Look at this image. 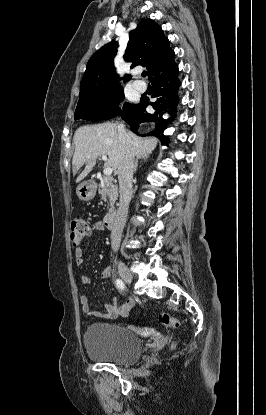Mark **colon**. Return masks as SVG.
<instances>
[{"label": "colon", "mask_w": 266, "mask_h": 415, "mask_svg": "<svg viewBox=\"0 0 266 415\" xmlns=\"http://www.w3.org/2000/svg\"><path fill=\"white\" fill-rule=\"evenodd\" d=\"M90 234V225L83 217H75L70 223V241L74 246L80 245ZM160 322L168 327L178 328L179 321L169 313L159 316Z\"/></svg>", "instance_id": "colon-1"}]
</instances>
